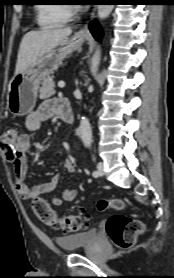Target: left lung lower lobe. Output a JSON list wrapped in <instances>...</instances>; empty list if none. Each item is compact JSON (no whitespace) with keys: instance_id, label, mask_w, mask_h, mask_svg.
<instances>
[{"instance_id":"left-lung-lower-lobe-1","label":"left lung lower lobe","mask_w":174,"mask_h":278,"mask_svg":"<svg viewBox=\"0 0 174 278\" xmlns=\"http://www.w3.org/2000/svg\"><path fill=\"white\" fill-rule=\"evenodd\" d=\"M89 29L91 31V33L93 34V36L98 40L100 41L101 39V36H102V31H101V28H100V25L98 24L97 21H92L90 24H89Z\"/></svg>"}]
</instances>
